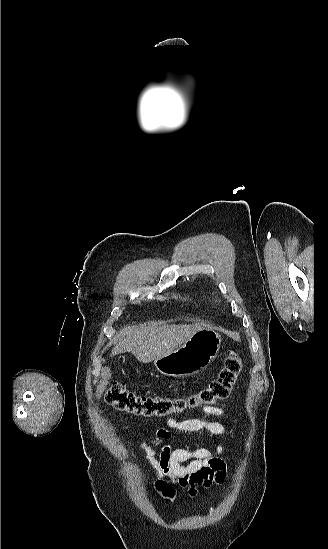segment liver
Wrapping results in <instances>:
<instances>
[{
	"label": "liver",
	"instance_id": "6515ba94",
	"mask_svg": "<svg viewBox=\"0 0 328 549\" xmlns=\"http://www.w3.org/2000/svg\"><path fill=\"white\" fill-rule=\"evenodd\" d=\"M200 329L201 325H161L152 321L126 327L119 331L122 335H119L118 345L112 349L111 357L128 351L140 363H152L176 351Z\"/></svg>",
	"mask_w": 328,
	"mask_h": 549
}]
</instances>
